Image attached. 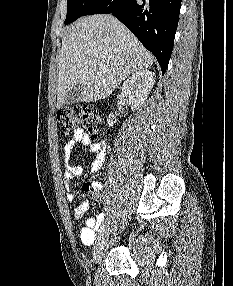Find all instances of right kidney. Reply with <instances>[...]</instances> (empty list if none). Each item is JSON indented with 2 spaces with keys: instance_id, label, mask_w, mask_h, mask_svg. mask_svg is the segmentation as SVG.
<instances>
[{
  "instance_id": "right-kidney-1",
  "label": "right kidney",
  "mask_w": 233,
  "mask_h": 286,
  "mask_svg": "<svg viewBox=\"0 0 233 286\" xmlns=\"http://www.w3.org/2000/svg\"><path fill=\"white\" fill-rule=\"evenodd\" d=\"M155 83V74L149 70H140L132 74L122 85V93L132 111L138 109L147 99ZM117 122L116 116L110 113L108 126L112 127Z\"/></svg>"
}]
</instances>
